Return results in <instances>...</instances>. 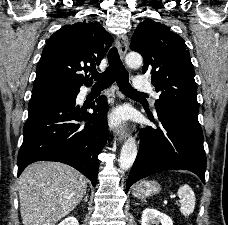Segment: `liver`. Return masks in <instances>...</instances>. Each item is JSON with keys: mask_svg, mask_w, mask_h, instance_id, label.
I'll return each mask as SVG.
<instances>
[{"mask_svg": "<svg viewBox=\"0 0 228 225\" xmlns=\"http://www.w3.org/2000/svg\"><path fill=\"white\" fill-rule=\"evenodd\" d=\"M23 225H56L82 201L84 175L62 163H33L18 179Z\"/></svg>", "mask_w": 228, "mask_h": 225, "instance_id": "1", "label": "liver"}]
</instances>
